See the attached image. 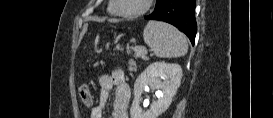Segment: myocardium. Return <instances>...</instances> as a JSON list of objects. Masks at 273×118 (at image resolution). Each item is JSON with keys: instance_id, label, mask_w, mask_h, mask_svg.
I'll use <instances>...</instances> for the list:
<instances>
[{"instance_id": "myocardium-1", "label": "myocardium", "mask_w": 273, "mask_h": 118, "mask_svg": "<svg viewBox=\"0 0 273 118\" xmlns=\"http://www.w3.org/2000/svg\"><path fill=\"white\" fill-rule=\"evenodd\" d=\"M152 2L153 0H145V5L141 10L137 12L128 13V12H122L118 9V0H112L111 9L114 14L120 17L135 18L145 14L150 9Z\"/></svg>"}]
</instances>
